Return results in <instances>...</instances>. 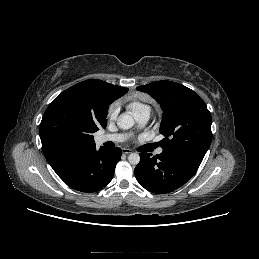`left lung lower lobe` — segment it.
Segmentation results:
<instances>
[{
  "label": "left lung lower lobe",
  "instance_id": "0a47b994",
  "mask_svg": "<svg viewBox=\"0 0 259 259\" xmlns=\"http://www.w3.org/2000/svg\"><path fill=\"white\" fill-rule=\"evenodd\" d=\"M140 153L134 174L141 186L150 192L163 194L184 185L198 170L203 157L186 152L163 151L151 156Z\"/></svg>",
  "mask_w": 259,
  "mask_h": 259
}]
</instances>
